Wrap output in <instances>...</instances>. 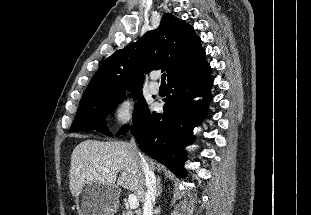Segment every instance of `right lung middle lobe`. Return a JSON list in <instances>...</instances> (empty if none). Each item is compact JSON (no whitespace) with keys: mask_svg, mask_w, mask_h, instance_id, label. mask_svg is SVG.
Segmentation results:
<instances>
[{"mask_svg":"<svg viewBox=\"0 0 311 215\" xmlns=\"http://www.w3.org/2000/svg\"><path fill=\"white\" fill-rule=\"evenodd\" d=\"M130 96L138 100L135 104V111L133 114V124H135L149 111V109L141 90L134 91ZM125 97V93L118 95H105L79 103V108L70 130L75 132L95 129L103 134L110 135L106 126L105 118L125 99ZM129 129L130 126L125 125L120 134L126 133Z\"/></svg>","mask_w":311,"mask_h":215,"instance_id":"obj_1","label":"right lung middle lobe"}]
</instances>
